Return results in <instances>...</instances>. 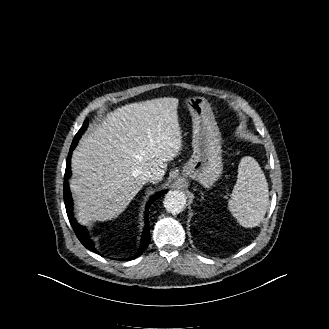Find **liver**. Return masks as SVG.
<instances>
[{
	"instance_id": "obj_1",
	"label": "liver",
	"mask_w": 329,
	"mask_h": 329,
	"mask_svg": "<svg viewBox=\"0 0 329 329\" xmlns=\"http://www.w3.org/2000/svg\"><path fill=\"white\" fill-rule=\"evenodd\" d=\"M178 99L135 102L107 114L73 152L70 189L79 220H111L121 214L145 184L151 170L163 179L167 162L182 147Z\"/></svg>"
}]
</instances>
